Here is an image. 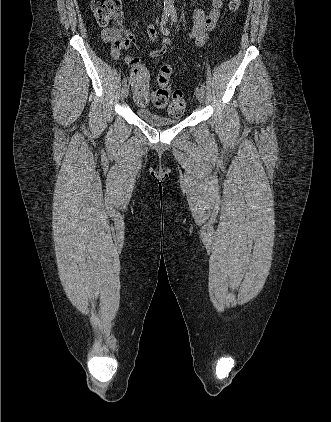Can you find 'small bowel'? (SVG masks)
Masks as SVG:
<instances>
[{
  "instance_id": "c3829d8e",
  "label": "small bowel",
  "mask_w": 331,
  "mask_h": 422,
  "mask_svg": "<svg viewBox=\"0 0 331 422\" xmlns=\"http://www.w3.org/2000/svg\"><path fill=\"white\" fill-rule=\"evenodd\" d=\"M211 8L205 12L202 8L196 7L193 11V27L191 31L185 36V38L194 39L198 46H201L207 37V32L215 28L216 23L220 17L223 0H210ZM148 37L151 44L156 40L158 33L164 35H171L170 30L165 25L158 23L151 24L147 28ZM102 37L105 42L111 43V56L117 59L120 55L121 49H129L131 45H137L136 37L128 30H125L122 26L121 20L115 22L113 28L105 29L102 32ZM177 49V46L169 38H162L161 47L159 49H149V54L155 58L163 57L168 49ZM125 61L127 64L134 67L135 65L141 64L139 57L126 55ZM129 82L132 85L135 100L139 105H146L148 103V96L146 101L140 102L137 99V90L145 87L148 93L147 82L143 83L138 78L131 75Z\"/></svg>"
}]
</instances>
